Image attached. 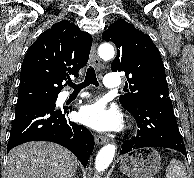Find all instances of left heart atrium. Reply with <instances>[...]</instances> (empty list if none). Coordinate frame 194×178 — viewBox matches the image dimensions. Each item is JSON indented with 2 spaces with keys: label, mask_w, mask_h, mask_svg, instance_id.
<instances>
[{
  "label": "left heart atrium",
  "mask_w": 194,
  "mask_h": 178,
  "mask_svg": "<svg viewBox=\"0 0 194 178\" xmlns=\"http://www.w3.org/2000/svg\"><path fill=\"white\" fill-rule=\"evenodd\" d=\"M79 120L99 132L119 130L122 126L119 112L114 108L108 109L102 102L82 107L79 112Z\"/></svg>",
  "instance_id": "1"
}]
</instances>
